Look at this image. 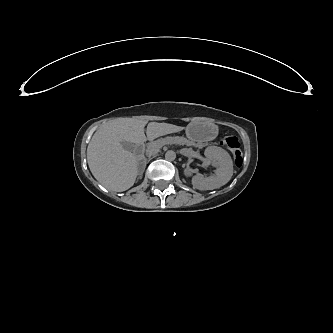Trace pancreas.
<instances>
[{"instance_id":"cf45deb5","label":"pancreas","mask_w":333,"mask_h":333,"mask_svg":"<svg viewBox=\"0 0 333 333\" xmlns=\"http://www.w3.org/2000/svg\"><path fill=\"white\" fill-rule=\"evenodd\" d=\"M164 142H171V143H175V144H185V145H188V146H195L194 144L190 143L189 141L185 140V139H173V140H160V141H157L155 143H152L150 144L148 147H147V150H146V153L148 155H152V154H155L160 146L161 143H164Z\"/></svg>"}]
</instances>
